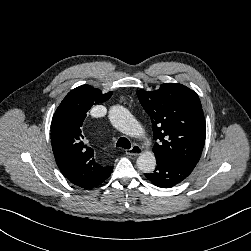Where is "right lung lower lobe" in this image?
Masks as SVG:
<instances>
[{
	"mask_svg": "<svg viewBox=\"0 0 251 251\" xmlns=\"http://www.w3.org/2000/svg\"><path fill=\"white\" fill-rule=\"evenodd\" d=\"M112 170H113V167H111V169H110V170H109L99 181H97L94 185L90 186V187L87 188V189L96 187V186H98L99 184H101L103 181H105V180L110 176Z\"/></svg>",
	"mask_w": 251,
	"mask_h": 251,
	"instance_id": "98d812e1",
	"label": "right lung lower lobe"
}]
</instances>
